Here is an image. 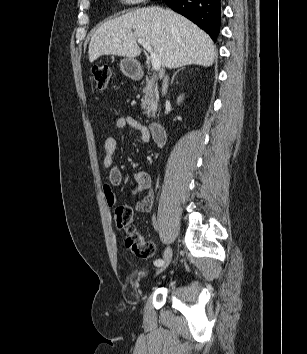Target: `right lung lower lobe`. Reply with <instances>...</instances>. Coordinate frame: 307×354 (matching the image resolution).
I'll use <instances>...</instances> for the list:
<instances>
[{"label": "right lung lower lobe", "mask_w": 307, "mask_h": 354, "mask_svg": "<svg viewBox=\"0 0 307 354\" xmlns=\"http://www.w3.org/2000/svg\"><path fill=\"white\" fill-rule=\"evenodd\" d=\"M174 11L184 15L216 41L220 30L221 0H163Z\"/></svg>", "instance_id": "obj_1"}]
</instances>
